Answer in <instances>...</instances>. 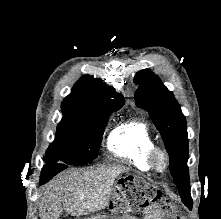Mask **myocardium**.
<instances>
[{
  "label": "myocardium",
  "instance_id": "1",
  "mask_svg": "<svg viewBox=\"0 0 221 219\" xmlns=\"http://www.w3.org/2000/svg\"><path fill=\"white\" fill-rule=\"evenodd\" d=\"M169 161L167 152L158 146L153 147L148 153L150 168L157 173L165 172L169 167Z\"/></svg>",
  "mask_w": 221,
  "mask_h": 219
}]
</instances>
